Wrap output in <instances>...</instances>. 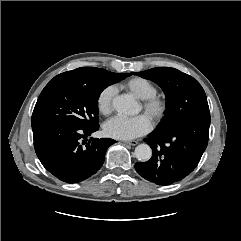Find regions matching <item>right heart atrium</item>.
I'll use <instances>...</instances> for the list:
<instances>
[{"mask_svg":"<svg viewBox=\"0 0 241 241\" xmlns=\"http://www.w3.org/2000/svg\"><path fill=\"white\" fill-rule=\"evenodd\" d=\"M116 95V88L112 85L103 88L97 97V108L103 115L111 114L113 110V100Z\"/></svg>","mask_w":241,"mask_h":241,"instance_id":"d8ad5b80","label":"right heart atrium"}]
</instances>
